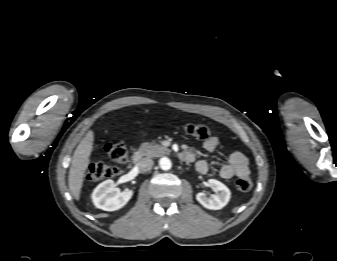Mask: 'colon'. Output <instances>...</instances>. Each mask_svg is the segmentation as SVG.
I'll return each mask as SVG.
<instances>
[{"mask_svg": "<svg viewBox=\"0 0 337 261\" xmlns=\"http://www.w3.org/2000/svg\"><path fill=\"white\" fill-rule=\"evenodd\" d=\"M182 130L198 140L206 141L212 137L211 130L204 125L188 123L182 126ZM105 152L108 158L116 164L125 163L128 158V150L123 143H108L105 145ZM119 171L117 166H110L103 162H93L88 166L86 177L91 181H100L116 176ZM252 186V180L248 177H241L235 181V188L241 192L251 190Z\"/></svg>", "mask_w": 337, "mask_h": 261, "instance_id": "5ec220e1", "label": "colon"}]
</instances>
